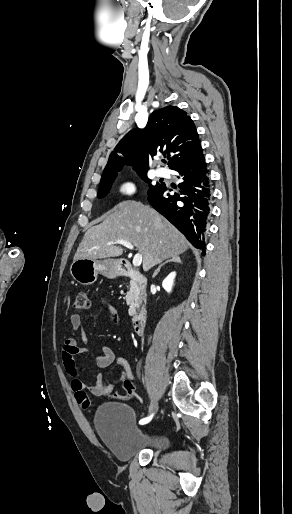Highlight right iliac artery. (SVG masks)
<instances>
[{
	"label": "right iliac artery",
	"mask_w": 292,
	"mask_h": 514,
	"mask_svg": "<svg viewBox=\"0 0 292 514\" xmlns=\"http://www.w3.org/2000/svg\"><path fill=\"white\" fill-rule=\"evenodd\" d=\"M152 417H153V415H151V416H149V417H146V418H143V419H141V420L139 421V423H140V424H146V423H148V422H150V421H151Z\"/></svg>",
	"instance_id": "1"
}]
</instances>
